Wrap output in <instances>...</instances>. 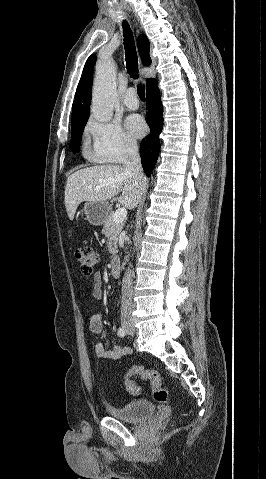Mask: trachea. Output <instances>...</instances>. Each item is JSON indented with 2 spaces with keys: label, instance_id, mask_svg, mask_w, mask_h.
Here are the masks:
<instances>
[{
  "label": "trachea",
  "instance_id": "trachea-1",
  "mask_svg": "<svg viewBox=\"0 0 266 479\" xmlns=\"http://www.w3.org/2000/svg\"><path fill=\"white\" fill-rule=\"evenodd\" d=\"M123 33H124V48L126 55V68L127 72L131 78H138V56L136 52V47L134 43V37L132 31L125 21L123 22ZM137 93L141 100H145V86L139 84L137 86Z\"/></svg>",
  "mask_w": 266,
  "mask_h": 479
}]
</instances>
